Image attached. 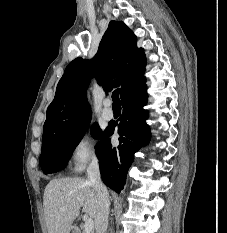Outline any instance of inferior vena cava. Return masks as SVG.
Here are the masks:
<instances>
[{
  "mask_svg": "<svg viewBox=\"0 0 227 233\" xmlns=\"http://www.w3.org/2000/svg\"><path fill=\"white\" fill-rule=\"evenodd\" d=\"M88 180L92 183L98 196V212L95 219L96 233H106L109 216V194L101 181L99 162L93 158L87 169Z\"/></svg>",
  "mask_w": 227,
  "mask_h": 233,
  "instance_id": "602c4592",
  "label": "inferior vena cava"
}]
</instances>
